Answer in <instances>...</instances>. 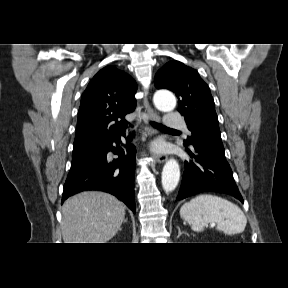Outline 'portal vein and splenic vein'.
Instances as JSON below:
<instances>
[{
	"mask_svg": "<svg viewBox=\"0 0 288 288\" xmlns=\"http://www.w3.org/2000/svg\"><path fill=\"white\" fill-rule=\"evenodd\" d=\"M214 226H215V224H214V223L210 224V227H214Z\"/></svg>",
	"mask_w": 288,
	"mask_h": 288,
	"instance_id": "1",
	"label": "portal vein and splenic vein"
}]
</instances>
